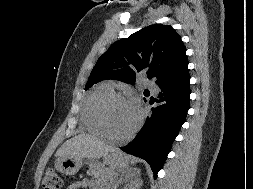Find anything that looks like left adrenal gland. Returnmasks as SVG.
Wrapping results in <instances>:
<instances>
[{
  "label": "left adrenal gland",
  "instance_id": "obj_1",
  "mask_svg": "<svg viewBox=\"0 0 253 189\" xmlns=\"http://www.w3.org/2000/svg\"><path fill=\"white\" fill-rule=\"evenodd\" d=\"M122 176L123 175H121V178L119 179V181L114 185V189H116L119 182L122 181ZM137 176H140V169H134V170L130 169L125 175V178H132V177H137Z\"/></svg>",
  "mask_w": 253,
  "mask_h": 189
}]
</instances>
